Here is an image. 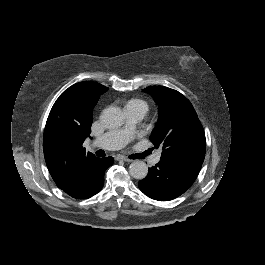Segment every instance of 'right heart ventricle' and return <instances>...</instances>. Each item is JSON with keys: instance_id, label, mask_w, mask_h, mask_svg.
<instances>
[{"instance_id": "e07e8e85", "label": "right heart ventricle", "mask_w": 265, "mask_h": 265, "mask_svg": "<svg viewBox=\"0 0 265 265\" xmlns=\"http://www.w3.org/2000/svg\"><path fill=\"white\" fill-rule=\"evenodd\" d=\"M123 102L125 103V106H124L125 110L126 109H142L145 111V113L148 110L147 103L141 98H137V97L126 98V96H124Z\"/></svg>"}]
</instances>
